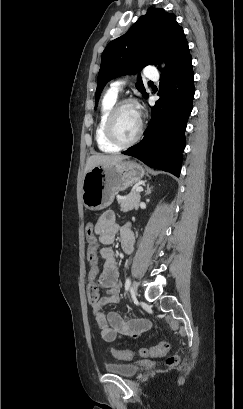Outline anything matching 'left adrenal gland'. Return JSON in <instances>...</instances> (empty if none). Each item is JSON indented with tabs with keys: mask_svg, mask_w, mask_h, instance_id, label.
I'll return each instance as SVG.
<instances>
[{
	"mask_svg": "<svg viewBox=\"0 0 243 409\" xmlns=\"http://www.w3.org/2000/svg\"><path fill=\"white\" fill-rule=\"evenodd\" d=\"M151 187L149 186V184H147V188H146V191H145V196H147V195H149L150 193H151Z\"/></svg>",
	"mask_w": 243,
	"mask_h": 409,
	"instance_id": "obj_1",
	"label": "left adrenal gland"
}]
</instances>
